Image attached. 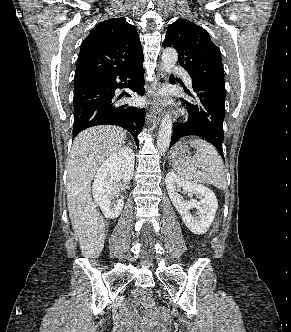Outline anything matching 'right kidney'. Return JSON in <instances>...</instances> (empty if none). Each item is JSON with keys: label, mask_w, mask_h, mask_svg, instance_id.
Listing matches in <instances>:
<instances>
[{"label": "right kidney", "mask_w": 291, "mask_h": 332, "mask_svg": "<svg viewBox=\"0 0 291 332\" xmlns=\"http://www.w3.org/2000/svg\"><path fill=\"white\" fill-rule=\"evenodd\" d=\"M133 170L134 153L129 148H122L112 154L97 171L92 186L93 198L106 218L115 219L120 215L123 199L111 200L118 195L119 182H130Z\"/></svg>", "instance_id": "ca27d5eb"}]
</instances>
